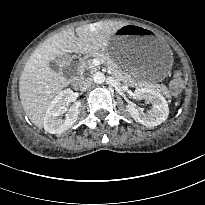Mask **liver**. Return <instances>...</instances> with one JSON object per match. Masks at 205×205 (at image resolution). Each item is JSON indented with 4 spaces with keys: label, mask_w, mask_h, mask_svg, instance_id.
<instances>
[{
    "label": "liver",
    "mask_w": 205,
    "mask_h": 205,
    "mask_svg": "<svg viewBox=\"0 0 205 205\" xmlns=\"http://www.w3.org/2000/svg\"><path fill=\"white\" fill-rule=\"evenodd\" d=\"M124 23L100 21L68 29L42 43L31 54L19 80L21 104L30 121L41 128L46 111L56 94L68 86L62 72H55L49 62L68 53H92L106 46L112 34Z\"/></svg>",
    "instance_id": "1"
}]
</instances>
